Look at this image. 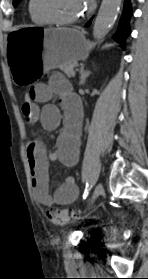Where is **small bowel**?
I'll return each mask as SVG.
<instances>
[{
  "mask_svg": "<svg viewBox=\"0 0 148 279\" xmlns=\"http://www.w3.org/2000/svg\"><path fill=\"white\" fill-rule=\"evenodd\" d=\"M33 101L22 105V113L28 123L39 122L49 131L56 130L66 121L64 130L58 136L56 147L48 153L40 141L31 142L27 147V159L31 173V184L35 198L45 205H67L79 196L75 178L67 177L53 195L49 192L48 166L50 161H59L65 166H74L79 158L80 133L83 109L77 96L73 94L68 81L61 75H54L49 84L39 83L32 87ZM59 98L61 109L50 104L51 98ZM43 106L40 107L39 105Z\"/></svg>",
  "mask_w": 148,
  "mask_h": 279,
  "instance_id": "1",
  "label": "small bowel"
}]
</instances>
